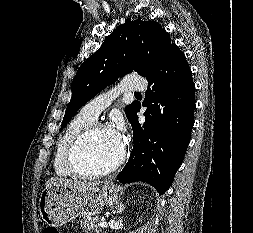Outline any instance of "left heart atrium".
Here are the masks:
<instances>
[{
	"label": "left heart atrium",
	"instance_id": "39dd6f15",
	"mask_svg": "<svg viewBox=\"0 0 253 233\" xmlns=\"http://www.w3.org/2000/svg\"><path fill=\"white\" fill-rule=\"evenodd\" d=\"M111 136L119 143L123 144L125 139V125L121 119H116L114 123L107 128Z\"/></svg>",
	"mask_w": 253,
	"mask_h": 233
}]
</instances>
